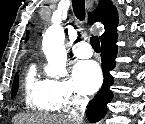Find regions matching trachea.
Segmentation results:
<instances>
[{"instance_id": "obj_1", "label": "trachea", "mask_w": 145, "mask_h": 124, "mask_svg": "<svg viewBox=\"0 0 145 124\" xmlns=\"http://www.w3.org/2000/svg\"><path fill=\"white\" fill-rule=\"evenodd\" d=\"M73 10L75 16L79 20H84L85 18V1L84 0H72ZM90 44L94 51H100V42L98 36H92L90 39Z\"/></svg>"}]
</instances>
